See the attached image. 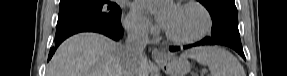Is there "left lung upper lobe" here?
<instances>
[{
    "label": "left lung upper lobe",
    "instance_id": "1",
    "mask_svg": "<svg viewBox=\"0 0 287 76\" xmlns=\"http://www.w3.org/2000/svg\"><path fill=\"white\" fill-rule=\"evenodd\" d=\"M209 11L213 24L212 36L232 44H241L237 8L234 0H198Z\"/></svg>",
    "mask_w": 287,
    "mask_h": 76
}]
</instances>
